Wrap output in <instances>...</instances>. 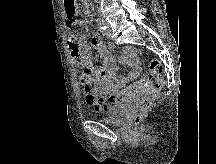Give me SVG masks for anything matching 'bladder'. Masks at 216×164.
<instances>
[{
  "label": "bladder",
  "instance_id": "1",
  "mask_svg": "<svg viewBox=\"0 0 216 164\" xmlns=\"http://www.w3.org/2000/svg\"><path fill=\"white\" fill-rule=\"evenodd\" d=\"M128 112L129 109L126 107H117L111 116L100 118L99 121L109 125L121 126L125 123Z\"/></svg>",
  "mask_w": 216,
  "mask_h": 164
}]
</instances>
